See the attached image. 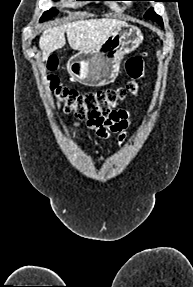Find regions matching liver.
<instances>
[{
    "label": "liver",
    "instance_id": "6515ba94",
    "mask_svg": "<svg viewBox=\"0 0 193 287\" xmlns=\"http://www.w3.org/2000/svg\"><path fill=\"white\" fill-rule=\"evenodd\" d=\"M123 25H126L125 21L102 18L77 20L48 28L39 39V47L43 51L42 60L46 61L51 53L65 45V33L73 50L90 52Z\"/></svg>",
    "mask_w": 193,
    "mask_h": 287
}]
</instances>
